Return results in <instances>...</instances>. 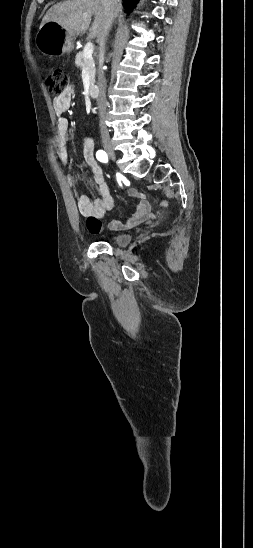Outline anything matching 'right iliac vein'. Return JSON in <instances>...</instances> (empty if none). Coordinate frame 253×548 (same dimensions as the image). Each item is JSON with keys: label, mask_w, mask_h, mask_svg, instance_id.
Listing matches in <instances>:
<instances>
[{"label": "right iliac vein", "mask_w": 253, "mask_h": 548, "mask_svg": "<svg viewBox=\"0 0 253 548\" xmlns=\"http://www.w3.org/2000/svg\"><path fill=\"white\" fill-rule=\"evenodd\" d=\"M104 149H105L106 153L108 154V156H109L111 159H113V160L116 159L115 150H114L113 146H112L110 143L106 142V143L104 144Z\"/></svg>", "instance_id": "obj_1"}]
</instances>
